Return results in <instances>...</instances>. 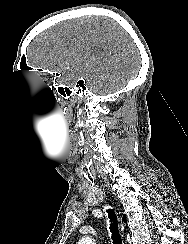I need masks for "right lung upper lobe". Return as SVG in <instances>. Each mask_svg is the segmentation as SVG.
I'll use <instances>...</instances> for the list:
<instances>
[{"label": "right lung upper lobe", "mask_w": 188, "mask_h": 244, "mask_svg": "<svg viewBox=\"0 0 188 244\" xmlns=\"http://www.w3.org/2000/svg\"><path fill=\"white\" fill-rule=\"evenodd\" d=\"M125 220H126V216L124 215L122 221H125Z\"/></svg>", "instance_id": "1"}]
</instances>
